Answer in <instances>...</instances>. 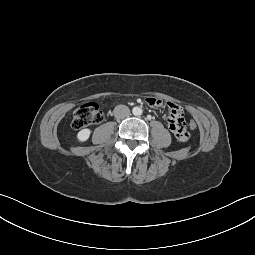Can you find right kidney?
<instances>
[{"instance_id":"1","label":"right kidney","mask_w":255,"mask_h":255,"mask_svg":"<svg viewBox=\"0 0 255 255\" xmlns=\"http://www.w3.org/2000/svg\"><path fill=\"white\" fill-rule=\"evenodd\" d=\"M91 130L88 128L82 129L77 133V140L79 142H85L89 139Z\"/></svg>"}]
</instances>
